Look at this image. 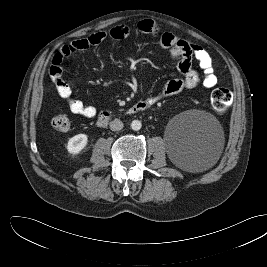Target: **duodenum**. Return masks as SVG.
<instances>
[{
  "instance_id": "obj_1",
  "label": "duodenum",
  "mask_w": 267,
  "mask_h": 267,
  "mask_svg": "<svg viewBox=\"0 0 267 267\" xmlns=\"http://www.w3.org/2000/svg\"><path fill=\"white\" fill-rule=\"evenodd\" d=\"M150 107V104L144 102V101H140L138 103H136L129 111L128 114L132 115V114H136L138 112L144 111L146 109H148ZM119 117V115L114 114L112 112L109 111H102L100 112V114L97 117V124L99 126H105L107 125L110 121L117 119Z\"/></svg>"
}]
</instances>
